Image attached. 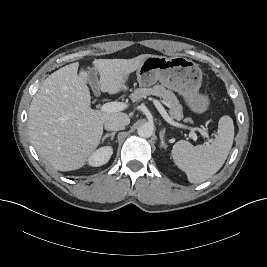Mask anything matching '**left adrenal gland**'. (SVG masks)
<instances>
[{
    "mask_svg": "<svg viewBox=\"0 0 267 267\" xmlns=\"http://www.w3.org/2000/svg\"><path fill=\"white\" fill-rule=\"evenodd\" d=\"M160 141H161L160 147L161 148H166V143H165V140H164V133H163V131L160 132Z\"/></svg>",
    "mask_w": 267,
    "mask_h": 267,
    "instance_id": "a2214340",
    "label": "left adrenal gland"
}]
</instances>
